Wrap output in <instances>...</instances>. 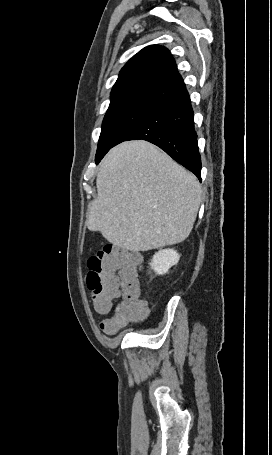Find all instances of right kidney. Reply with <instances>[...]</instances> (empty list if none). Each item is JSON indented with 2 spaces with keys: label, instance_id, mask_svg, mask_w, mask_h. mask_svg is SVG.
Wrapping results in <instances>:
<instances>
[{
  "label": "right kidney",
  "instance_id": "right-kidney-1",
  "mask_svg": "<svg viewBox=\"0 0 272 455\" xmlns=\"http://www.w3.org/2000/svg\"><path fill=\"white\" fill-rule=\"evenodd\" d=\"M180 255L174 249L159 250L153 256L150 266L158 275H163L178 263Z\"/></svg>",
  "mask_w": 272,
  "mask_h": 455
}]
</instances>
